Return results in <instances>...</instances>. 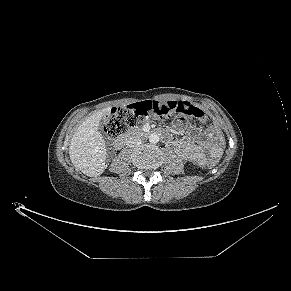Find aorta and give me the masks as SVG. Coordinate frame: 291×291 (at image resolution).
<instances>
[{"instance_id": "aorta-1", "label": "aorta", "mask_w": 291, "mask_h": 291, "mask_svg": "<svg viewBox=\"0 0 291 291\" xmlns=\"http://www.w3.org/2000/svg\"><path fill=\"white\" fill-rule=\"evenodd\" d=\"M149 142L152 144H156L159 142V135L153 133L149 136Z\"/></svg>"}]
</instances>
